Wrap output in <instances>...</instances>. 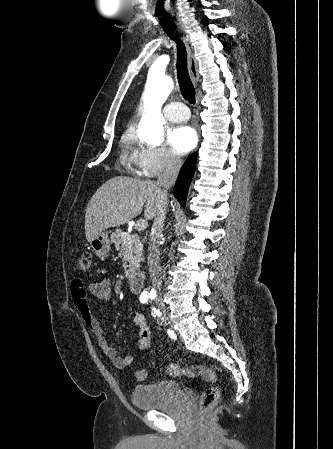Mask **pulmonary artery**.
Returning <instances> with one entry per match:
<instances>
[{
	"instance_id": "e3ab8cb5",
	"label": "pulmonary artery",
	"mask_w": 333,
	"mask_h": 449,
	"mask_svg": "<svg viewBox=\"0 0 333 449\" xmlns=\"http://www.w3.org/2000/svg\"><path fill=\"white\" fill-rule=\"evenodd\" d=\"M165 117L173 122L185 121L189 118L188 108L181 102H170L163 108Z\"/></svg>"
}]
</instances>
